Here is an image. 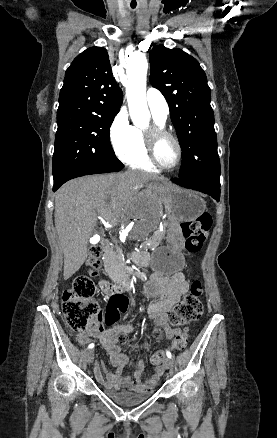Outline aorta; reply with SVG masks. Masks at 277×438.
Here are the masks:
<instances>
[{
  "label": "aorta",
  "instance_id": "1",
  "mask_svg": "<svg viewBox=\"0 0 277 438\" xmlns=\"http://www.w3.org/2000/svg\"><path fill=\"white\" fill-rule=\"evenodd\" d=\"M148 63L144 54L135 52L127 58L126 93L133 124L143 128L149 123L150 112L146 101ZM161 218L160 200L153 194L140 197L127 211L120 233V242L143 240L155 230Z\"/></svg>",
  "mask_w": 277,
  "mask_h": 438
}]
</instances>
